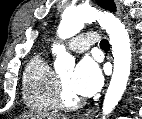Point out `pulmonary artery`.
<instances>
[{
	"instance_id": "e3ab8cb5",
	"label": "pulmonary artery",
	"mask_w": 142,
	"mask_h": 119,
	"mask_svg": "<svg viewBox=\"0 0 142 119\" xmlns=\"http://www.w3.org/2000/svg\"><path fill=\"white\" fill-rule=\"evenodd\" d=\"M96 42L95 34L93 32H89L73 38L67 44L71 50L81 53L86 51Z\"/></svg>"
}]
</instances>
